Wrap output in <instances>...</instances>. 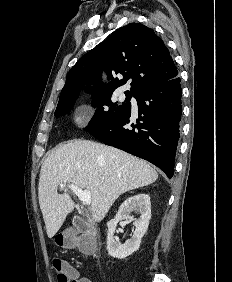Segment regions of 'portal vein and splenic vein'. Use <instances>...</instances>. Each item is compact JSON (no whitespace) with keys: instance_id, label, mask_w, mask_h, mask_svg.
Returning <instances> with one entry per match:
<instances>
[{"instance_id":"portal-vein-and-splenic-vein-1","label":"portal vein and splenic vein","mask_w":232,"mask_h":282,"mask_svg":"<svg viewBox=\"0 0 232 282\" xmlns=\"http://www.w3.org/2000/svg\"><path fill=\"white\" fill-rule=\"evenodd\" d=\"M61 187L70 188L73 193L82 201L83 204L90 205L91 204V193L89 190H82L81 188L73 185V184H61Z\"/></svg>"}]
</instances>
